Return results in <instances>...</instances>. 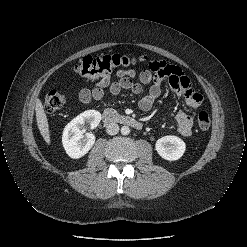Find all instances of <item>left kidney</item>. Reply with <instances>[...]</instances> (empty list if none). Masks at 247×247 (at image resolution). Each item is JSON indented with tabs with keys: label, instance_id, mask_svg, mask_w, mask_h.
I'll use <instances>...</instances> for the list:
<instances>
[{
	"label": "left kidney",
	"instance_id": "1",
	"mask_svg": "<svg viewBox=\"0 0 247 247\" xmlns=\"http://www.w3.org/2000/svg\"><path fill=\"white\" fill-rule=\"evenodd\" d=\"M155 149L165 160L175 161L180 159L185 150L186 144L177 136H164L156 141Z\"/></svg>",
	"mask_w": 247,
	"mask_h": 247
}]
</instances>
